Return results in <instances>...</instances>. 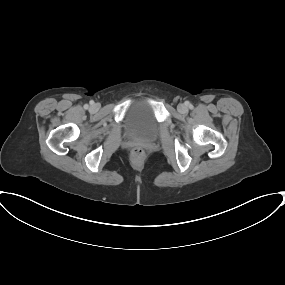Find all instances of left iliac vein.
<instances>
[{"instance_id":"obj_1","label":"left iliac vein","mask_w":285,"mask_h":285,"mask_svg":"<svg viewBox=\"0 0 285 285\" xmlns=\"http://www.w3.org/2000/svg\"><path fill=\"white\" fill-rule=\"evenodd\" d=\"M177 109L180 113H186L188 111V108L184 104H179Z\"/></svg>"}]
</instances>
